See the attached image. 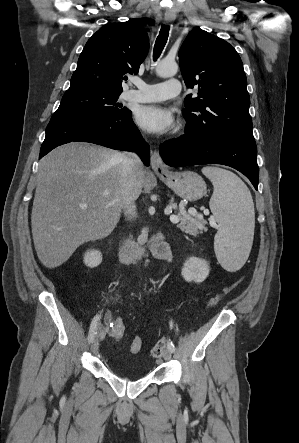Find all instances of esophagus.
I'll use <instances>...</instances> for the list:
<instances>
[{"mask_svg":"<svg viewBox=\"0 0 299 443\" xmlns=\"http://www.w3.org/2000/svg\"><path fill=\"white\" fill-rule=\"evenodd\" d=\"M175 17L176 15L172 10H167L164 15V20L169 24L175 19ZM151 167L155 173H164L167 171V167L157 150H155L151 156Z\"/></svg>","mask_w":299,"mask_h":443,"instance_id":"34e87169","label":"esophagus"}]
</instances>
